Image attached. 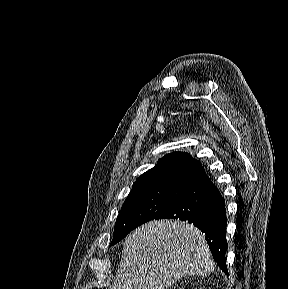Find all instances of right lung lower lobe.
Returning <instances> with one entry per match:
<instances>
[{
	"instance_id": "right-lung-lower-lobe-1",
	"label": "right lung lower lobe",
	"mask_w": 288,
	"mask_h": 289,
	"mask_svg": "<svg viewBox=\"0 0 288 289\" xmlns=\"http://www.w3.org/2000/svg\"><path fill=\"white\" fill-rule=\"evenodd\" d=\"M163 218L188 221L203 231L214 260L228 275L225 259L227 249L225 201L207 175L189 188L181 200L155 219Z\"/></svg>"
}]
</instances>
